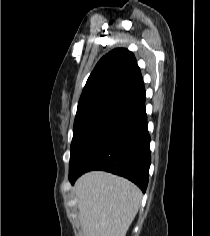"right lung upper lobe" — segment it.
<instances>
[{
  "mask_svg": "<svg viewBox=\"0 0 210 236\" xmlns=\"http://www.w3.org/2000/svg\"><path fill=\"white\" fill-rule=\"evenodd\" d=\"M143 85L140 69L132 52L114 49L101 58L89 76L78 104L101 97L116 89L134 91Z\"/></svg>",
  "mask_w": 210,
  "mask_h": 236,
  "instance_id": "cb5924a9",
  "label": "right lung upper lobe"
}]
</instances>
